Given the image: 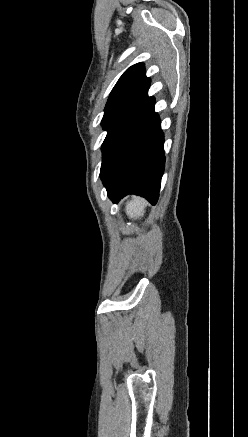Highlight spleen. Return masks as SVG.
Masks as SVG:
<instances>
[{
	"mask_svg": "<svg viewBox=\"0 0 248 437\" xmlns=\"http://www.w3.org/2000/svg\"><path fill=\"white\" fill-rule=\"evenodd\" d=\"M146 202L141 198H133L126 204V214L130 218H135L144 215Z\"/></svg>",
	"mask_w": 248,
	"mask_h": 437,
	"instance_id": "1",
	"label": "spleen"
}]
</instances>
